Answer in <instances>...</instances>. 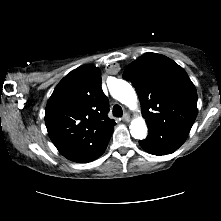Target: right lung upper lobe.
Segmentation results:
<instances>
[{"instance_id": "cb5924a9", "label": "right lung upper lobe", "mask_w": 221, "mask_h": 221, "mask_svg": "<svg viewBox=\"0 0 221 221\" xmlns=\"http://www.w3.org/2000/svg\"><path fill=\"white\" fill-rule=\"evenodd\" d=\"M109 102L101 88V72L83 65L67 74L48 100L45 123L58 151L79 162L113 133Z\"/></svg>"}]
</instances>
